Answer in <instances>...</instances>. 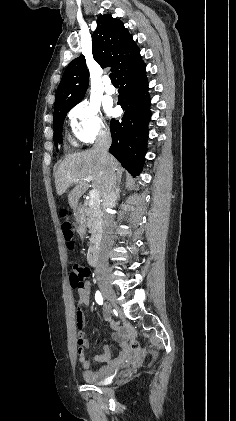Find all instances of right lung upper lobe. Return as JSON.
<instances>
[{
	"label": "right lung upper lobe",
	"instance_id": "cb5924a9",
	"mask_svg": "<svg viewBox=\"0 0 236 421\" xmlns=\"http://www.w3.org/2000/svg\"><path fill=\"white\" fill-rule=\"evenodd\" d=\"M92 42L95 61L102 68L110 66L116 75L140 56V50L123 22L109 14L98 17ZM88 81L85 57L81 55L65 69L57 90L54 110L79 103L86 93Z\"/></svg>",
	"mask_w": 236,
	"mask_h": 421
}]
</instances>
